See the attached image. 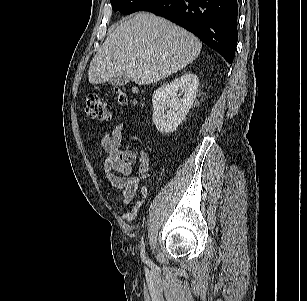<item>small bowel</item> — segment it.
<instances>
[{
    "label": "small bowel",
    "mask_w": 307,
    "mask_h": 301,
    "mask_svg": "<svg viewBox=\"0 0 307 301\" xmlns=\"http://www.w3.org/2000/svg\"><path fill=\"white\" fill-rule=\"evenodd\" d=\"M123 129L124 123L119 122L110 131L106 132L100 142V151L108 155L103 163L105 176L111 185L121 193L122 204L126 205L137 193L140 179L149 178L150 173L149 160L145 154H142L139 159V175H131L133 167L122 160L123 152L119 150ZM141 193L145 196L147 190L141 188ZM142 203V201H139L130 212L124 213L123 219L133 220L137 216Z\"/></svg>",
    "instance_id": "1"
}]
</instances>
